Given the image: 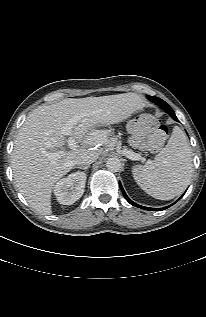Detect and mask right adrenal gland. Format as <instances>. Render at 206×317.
Returning <instances> with one entry per match:
<instances>
[{"instance_id":"2a0ac1e0","label":"right adrenal gland","mask_w":206,"mask_h":317,"mask_svg":"<svg viewBox=\"0 0 206 317\" xmlns=\"http://www.w3.org/2000/svg\"><path fill=\"white\" fill-rule=\"evenodd\" d=\"M90 167V165H87V166H80V167H77L79 169H82L84 171H87V169Z\"/></svg>"}]
</instances>
